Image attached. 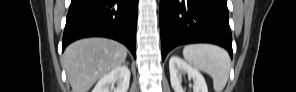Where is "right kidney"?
I'll return each instance as SVG.
<instances>
[{
  "label": "right kidney",
  "instance_id": "right-kidney-1",
  "mask_svg": "<svg viewBox=\"0 0 296 92\" xmlns=\"http://www.w3.org/2000/svg\"><path fill=\"white\" fill-rule=\"evenodd\" d=\"M130 82V70L126 65L118 66L104 75L92 92H127ZM117 84V87L114 84Z\"/></svg>",
  "mask_w": 296,
  "mask_h": 92
}]
</instances>
